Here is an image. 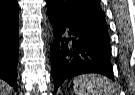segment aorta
Masks as SVG:
<instances>
[{"mask_svg": "<svg viewBox=\"0 0 135 95\" xmlns=\"http://www.w3.org/2000/svg\"><path fill=\"white\" fill-rule=\"evenodd\" d=\"M49 28L52 30V27L51 26H49Z\"/></svg>", "mask_w": 135, "mask_h": 95, "instance_id": "1", "label": "aorta"}]
</instances>
